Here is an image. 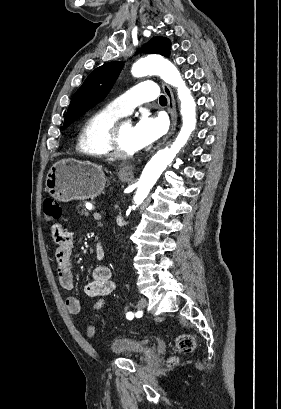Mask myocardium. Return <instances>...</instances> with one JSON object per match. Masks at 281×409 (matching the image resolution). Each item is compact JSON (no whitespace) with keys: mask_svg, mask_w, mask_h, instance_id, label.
<instances>
[{"mask_svg":"<svg viewBox=\"0 0 281 409\" xmlns=\"http://www.w3.org/2000/svg\"><path fill=\"white\" fill-rule=\"evenodd\" d=\"M126 123L124 120H116L113 122L106 130L105 136H104V147L108 153L109 156L117 158V159H131L133 158L137 153L138 150L132 151V152H127L123 151L119 148L118 146V134L120 131L121 126Z\"/></svg>","mask_w":281,"mask_h":409,"instance_id":"obj_1","label":"myocardium"}]
</instances>
